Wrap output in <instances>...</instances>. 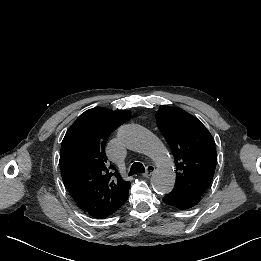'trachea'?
<instances>
[{"instance_id":"1","label":"trachea","mask_w":261,"mask_h":261,"mask_svg":"<svg viewBox=\"0 0 261 261\" xmlns=\"http://www.w3.org/2000/svg\"><path fill=\"white\" fill-rule=\"evenodd\" d=\"M138 173H145V168L142 163L135 162L131 166L128 176H132V175L138 174Z\"/></svg>"}]
</instances>
